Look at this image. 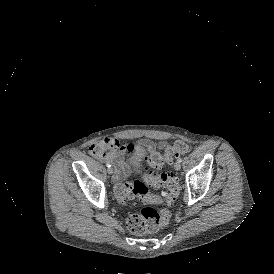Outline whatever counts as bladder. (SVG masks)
<instances>
[{
	"label": "bladder",
	"instance_id": "obj_1",
	"mask_svg": "<svg viewBox=\"0 0 274 274\" xmlns=\"http://www.w3.org/2000/svg\"><path fill=\"white\" fill-rule=\"evenodd\" d=\"M127 153L131 154V166L134 173H140L143 169L146 155L144 150L138 145L127 147Z\"/></svg>",
	"mask_w": 274,
	"mask_h": 274
}]
</instances>
